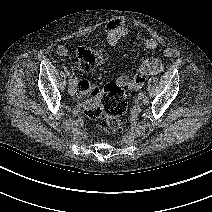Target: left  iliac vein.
I'll list each match as a JSON object with an SVG mask.
<instances>
[{
	"label": "left iliac vein",
	"instance_id": "4c4485c4",
	"mask_svg": "<svg viewBox=\"0 0 212 212\" xmlns=\"http://www.w3.org/2000/svg\"><path fill=\"white\" fill-rule=\"evenodd\" d=\"M138 99L141 101L142 104H144V94L143 93L138 94Z\"/></svg>",
	"mask_w": 212,
	"mask_h": 212
}]
</instances>
